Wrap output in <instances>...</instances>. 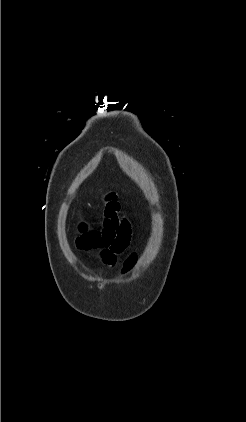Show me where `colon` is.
<instances>
[{
    "label": "colon",
    "mask_w": 246,
    "mask_h": 422,
    "mask_svg": "<svg viewBox=\"0 0 246 422\" xmlns=\"http://www.w3.org/2000/svg\"><path fill=\"white\" fill-rule=\"evenodd\" d=\"M107 199H108L109 203L115 202V201H114V200H115V194H113V193L109 194V195L107 196ZM109 203H108V204H109Z\"/></svg>",
    "instance_id": "1"
}]
</instances>
